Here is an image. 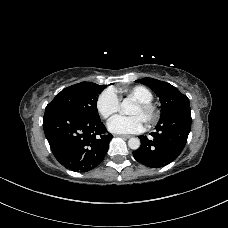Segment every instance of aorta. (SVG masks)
Instances as JSON below:
<instances>
[{
  "mask_svg": "<svg viewBox=\"0 0 228 228\" xmlns=\"http://www.w3.org/2000/svg\"><path fill=\"white\" fill-rule=\"evenodd\" d=\"M121 108L123 113L128 114L129 110L131 108V102L128 99H124L122 104H121ZM140 140L136 137L130 138L128 141V146L129 148L133 149V150H137L140 147Z\"/></svg>",
  "mask_w": 228,
  "mask_h": 228,
  "instance_id": "aorta-1",
  "label": "aorta"
}]
</instances>
